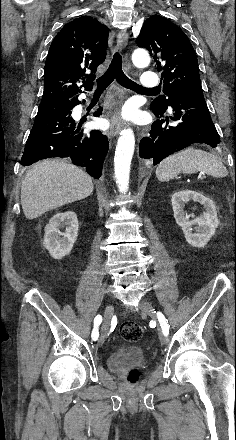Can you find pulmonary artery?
<instances>
[{
	"mask_svg": "<svg viewBox=\"0 0 236 440\" xmlns=\"http://www.w3.org/2000/svg\"><path fill=\"white\" fill-rule=\"evenodd\" d=\"M159 84V77L156 73L145 72L141 80L140 86L144 89H153Z\"/></svg>",
	"mask_w": 236,
	"mask_h": 440,
	"instance_id": "e3ab8cb5",
	"label": "pulmonary artery"
}]
</instances>
